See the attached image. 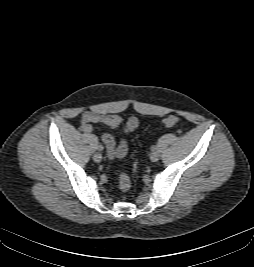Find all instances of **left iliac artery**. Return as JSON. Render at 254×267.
Masks as SVG:
<instances>
[{
	"label": "left iliac artery",
	"mask_w": 254,
	"mask_h": 267,
	"mask_svg": "<svg viewBox=\"0 0 254 267\" xmlns=\"http://www.w3.org/2000/svg\"><path fill=\"white\" fill-rule=\"evenodd\" d=\"M151 149H152V151H155V150H157V147L156 146H152Z\"/></svg>",
	"instance_id": "obj_1"
}]
</instances>
